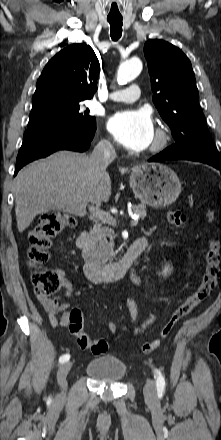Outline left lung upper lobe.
<instances>
[{"instance_id": "5c2ea615", "label": "left lung upper lobe", "mask_w": 221, "mask_h": 440, "mask_svg": "<svg viewBox=\"0 0 221 440\" xmlns=\"http://www.w3.org/2000/svg\"><path fill=\"white\" fill-rule=\"evenodd\" d=\"M153 102L176 141L166 148L193 161L221 162L199 106L195 75L187 56L174 45L152 39L144 45Z\"/></svg>"}]
</instances>
